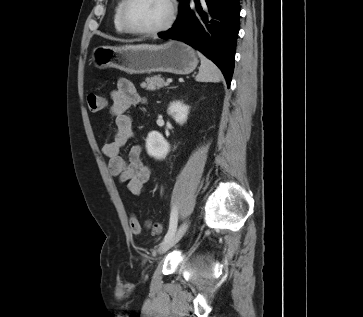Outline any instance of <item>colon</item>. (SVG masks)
Instances as JSON below:
<instances>
[{
  "label": "colon",
  "instance_id": "1",
  "mask_svg": "<svg viewBox=\"0 0 363 317\" xmlns=\"http://www.w3.org/2000/svg\"><path fill=\"white\" fill-rule=\"evenodd\" d=\"M87 105L92 113H96L104 108L105 100L99 94L91 93L87 96ZM129 225L132 233L138 235L142 232V226L135 215L130 216ZM145 226L154 233L160 232V225L158 223L147 221Z\"/></svg>",
  "mask_w": 363,
  "mask_h": 317
}]
</instances>
